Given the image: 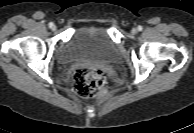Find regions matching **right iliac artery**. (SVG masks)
I'll use <instances>...</instances> for the list:
<instances>
[{
	"label": "right iliac artery",
	"instance_id": "obj_1",
	"mask_svg": "<svg viewBox=\"0 0 194 133\" xmlns=\"http://www.w3.org/2000/svg\"><path fill=\"white\" fill-rule=\"evenodd\" d=\"M54 24L52 22L49 23V27H52Z\"/></svg>",
	"mask_w": 194,
	"mask_h": 133
}]
</instances>
